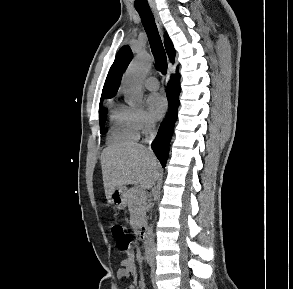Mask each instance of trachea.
I'll list each match as a JSON object with an SVG mask.
<instances>
[{"instance_id":"3493384b","label":"trachea","mask_w":293,"mask_h":289,"mask_svg":"<svg viewBox=\"0 0 293 289\" xmlns=\"http://www.w3.org/2000/svg\"><path fill=\"white\" fill-rule=\"evenodd\" d=\"M136 10L141 17L142 24L148 36L156 67L160 73L165 75L167 72V57L152 11L150 8Z\"/></svg>"}]
</instances>
